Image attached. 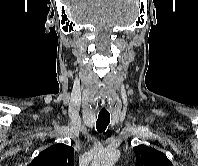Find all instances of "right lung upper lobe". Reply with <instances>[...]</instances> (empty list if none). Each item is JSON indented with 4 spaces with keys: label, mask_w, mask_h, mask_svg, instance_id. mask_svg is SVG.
<instances>
[{
    "label": "right lung upper lobe",
    "mask_w": 198,
    "mask_h": 166,
    "mask_svg": "<svg viewBox=\"0 0 198 166\" xmlns=\"http://www.w3.org/2000/svg\"><path fill=\"white\" fill-rule=\"evenodd\" d=\"M29 166H74V149L62 143L50 146Z\"/></svg>",
    "instance_id": "obj_1"
}]
</instances>
